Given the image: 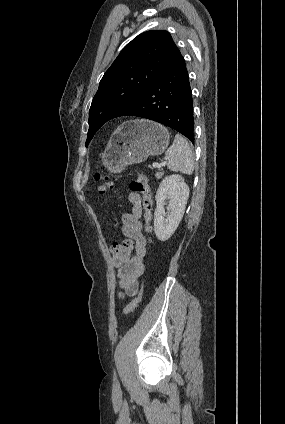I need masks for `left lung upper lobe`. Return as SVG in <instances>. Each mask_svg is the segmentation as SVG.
Returning a JSON list of instances; mask_svg holds the SVG:
<instances>
[{"label":"left lung upper lobe","mask_w":285,"mask_h":424,"mask_svg":"<svg viewBox=\"0 0 285 424\" xmlns=\"http://www.w3.org/2000/svg\"><path fill=\"white\" fill-rule=\"evenodd\" d=\"M176 45L169 32L141 33L120 52L102 77L89 110L88 146L97 130L116 117L160 75Z\"/></svg>","instance_id":"left-lung-upper-lobe-1"}]
</instances>
